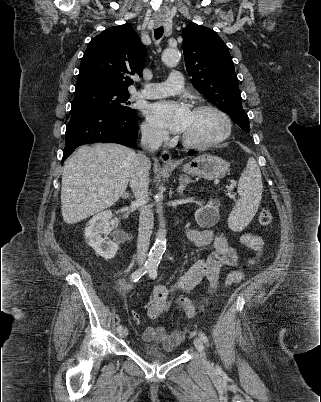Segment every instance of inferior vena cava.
I'll list each match as a JSON object with an SVG mask.
<instances>
[{
	"label": "inferior vena cava",
	"mask_w": 321,
	"mask_h": 402,
	"mask_svg": "<svg viewBox=\"0 0 321 402\" xmlns=\"http://www.w3.org/2000/svg\"><path fill=\"white\" fill-rule=\"evenodd\" d=\"M163 138L164 134L161 131L153 128H143L141 146L146 152H154L161 146ZM149 169L150 161L146 153L137 154L129 181L136 198V204L140 207L137 239V260L140 265L147 258L154 223L153 212L147 206L149 201Z\"/></svg>",
	"instance_id": "602c4592"
}]
</instances>
